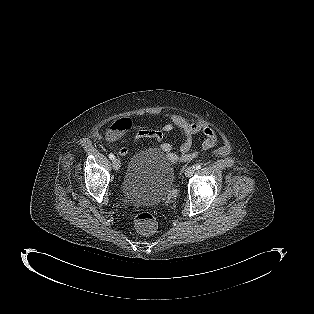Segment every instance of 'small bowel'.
Segmentation results:
<instances>
[{"label": "small bowel", "instance_id": "obj_1", "mask_svg": "<svg viewBox=\"0 0 314 314\" xmlns=\"http://www.w3.org/2000/svg\"><path fill=\"white\" fill-rule=\"evenodd\" d=\"M174 129H179L183 134V141L180 146V151L184 159H190L194 156L192 150V137L197 134L203 135L202 149L209 150L213 148L218 141L215 131L208 125L202 122H190L179 115H171L170 120L162 125L160 129H140L135 132L132 143L136 144L143 139H154L162 141ZM172 145L169 142H162L160 150L165 154L166 158L176 163L179 161V156L171 152ZM129 147L123 146L119 149V156L124 157L128 154Z\"/></svg>", "mask_w": 314, "mask_h": 314}]
</instances>
